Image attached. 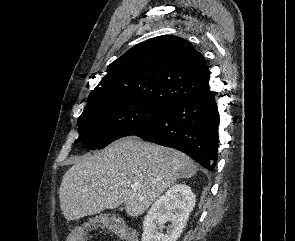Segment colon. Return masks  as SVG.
<instances>
[{
  "instance_id": "colon-1",
  "label": "colon",
  "mask_w": 295,
  "mask_h": 241,
  "mask_svg": "<svg viewBox=\"0 0 295 241\" xmlns=\"http://www.w3.org/2000/svg\"><path fill=\"white\" fill-rule=\"evenodd\" d=\"M91 226L107 227L114 235L124 241H136L134 233L126 223L121 218L113 216L99 217L81 229L72 230L67 241H85L86 234L90 231Z\"/></svg>"
}]
</instances>
